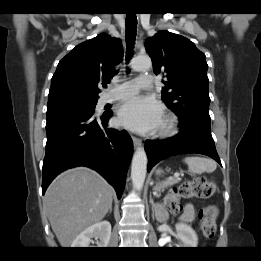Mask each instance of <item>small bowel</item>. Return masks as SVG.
<instances>
[{
	"instance_id": "small-bowel-1",
	"label": "small bowel",
	"mask_w": 261,
	"mask_h": 261,
	"mask_svg": "<svg viewBox=\"0 0 261 261\" xmlns=\"http://www.w3.org/2000/svg\"><path fill=\"white\" fill-rule=\"evenodd\" d=\"M195 219V208L193 205L188 204L185 207L183 214L181 215V220L185 222H192Z\"/></svg>"
}]
</instances>
